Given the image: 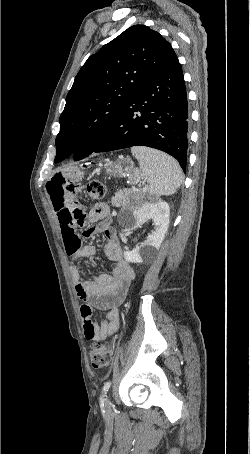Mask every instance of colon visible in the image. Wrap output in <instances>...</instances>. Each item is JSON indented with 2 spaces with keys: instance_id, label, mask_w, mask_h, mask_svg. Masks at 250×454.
Returning <instances> with one entry per match:
<instances>
[{
  "instance_id": "obj_1",
  "label": "colon",
  "mask_w": 250,
  "mask_h": 454,
  "mask_svg": "<svg viewBox=\"0 0 250 454\" xmlns=\"http://www.w3.org/2000/svg\"><path fill=\"white\" fill-rule=\"evenodd\" d=\"M86 192L91 200H99L105 196L106 186L100 180H91L86 185ZM90 361L97 370L108 368L112 363V346L93 343L90 347Z\"/></svg>"
}]
</instances>
